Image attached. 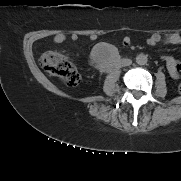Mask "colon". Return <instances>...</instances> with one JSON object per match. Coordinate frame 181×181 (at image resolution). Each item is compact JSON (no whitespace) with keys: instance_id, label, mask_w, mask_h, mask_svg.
Returning <instances> with one entry per match:
<instances>
[{"instance_id":"5ec220e1","label":"colon","mask_w":181,"mask_h":181,"mask_svg":"<svg viewBox=\"0 0 181 181\" xmlns=\"http://www.w3.org/2000/svg\"><path fill=\"white\" fill-rule=\"evenodd\" d=\"M40 61L46 73L58 77L68 86H76L80 82V74L76 66L62 54L49 51L41 56ZM179 91L181 93V84Z\"/></svg>"}]
</instances>
